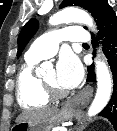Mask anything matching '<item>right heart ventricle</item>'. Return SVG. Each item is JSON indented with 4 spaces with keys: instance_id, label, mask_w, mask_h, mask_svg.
<instances>
[{
    "instance_id": "right-heart-ventricle-1",
    "label": "right heart ventricle",
    "mask_w": 117,
    "mask_h": 131,
    "mask_svg": "<svg viewBox=\"0 0 117 131\" xmlns=\"http://www.w3.org/2000/svg\"><path fill=\"white\" fill-rule=\"evenodd\" d=\"M39 59H27L21 66L16 80V93L19 105L24 109L40 108L49 103L50 97L44 90L39 78L35 74V66Z\"/></svg>"
}]
</instances>
